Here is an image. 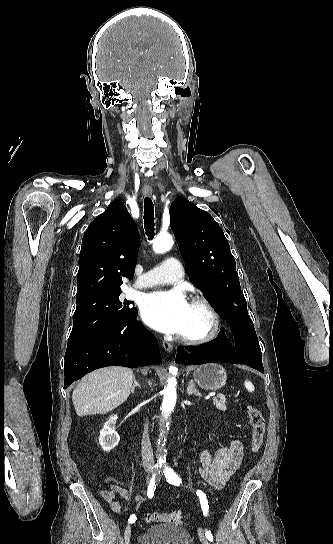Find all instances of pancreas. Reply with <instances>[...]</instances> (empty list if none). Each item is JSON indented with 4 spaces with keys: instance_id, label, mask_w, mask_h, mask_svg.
<instances>
[{
    "instance_id": "1",
    "label": "pancreas",
    "mask_w": 333,
    "mask_h": 544,
    "mask_svg": "<svg viewBox=\"0 0 333 544\" xmlns=\"http://www.w3.org/2000/svg\"><path fill=\"white\" fill-rule=\"evenodd\" d=\"M213 404L219 410H226V398L223 394H219L217 397L213 398Z\"/></svg>"
}]
</instances>
